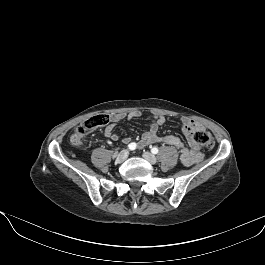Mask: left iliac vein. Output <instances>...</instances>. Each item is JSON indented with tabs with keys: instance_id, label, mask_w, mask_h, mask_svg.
I'll use <instances>...</instances> for the list:
<instances>
[{
	"instance_id": "1",
	"label": "left iliac vein",
	"mask_w": 265,
	"mask_h": 265,
	"mask_svg": "<svg viewBox=\"0 0 265 265\" xmlns=\"http://www.w3.org/2000/svg\"><path fill=\"white\" fill-rule=\"evenodd\" d=\"M143 158L145 160H147L151 164H156V162H157L156 157L153 154L149 153V152H144L143 153Z\"/></svg>"
}]
</instances>
